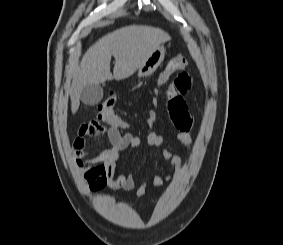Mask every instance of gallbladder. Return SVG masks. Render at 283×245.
<instances>
[{
  "label": "gallbladder",
  "instance_id": "bac80fb5",
  "mask_svg": "<svg viewBox=\"0 0 283 245\" xmlns=\"http://www.w3.org/2000/svg\"><path fill=\"white\" fill-rule=\"evenodd\" d=\"M81 101L85 105H96L103 98V88L100 85H87L81 92Z\"/></svg>",
  "mask_w": 283,
  "mask_h": 245
}]
</instances>
